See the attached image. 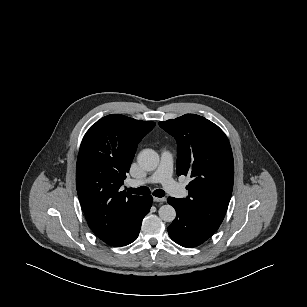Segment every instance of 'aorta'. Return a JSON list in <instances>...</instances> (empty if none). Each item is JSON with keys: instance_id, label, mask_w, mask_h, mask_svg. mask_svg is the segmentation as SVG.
<instances>
[{"instance_id": "762f6f07", "label": "aorta", "mask_w": 307, "mask_h": 307, "mask_svg": "<svg viewBox=\"0 0 307 307\" xmlns=\"http://www.w3.org/2000/svg\"><path fill=\"white\" fill-rule=\"evenodd\" d=\"M138 164L146 171H153L159 165V155L152 149L142 150L137 157ZM159 217L165 222H172L176 217V211L171 205H163L158 211Z\"/></svg>"}]
</instances>
